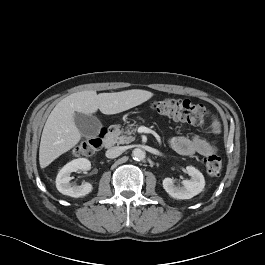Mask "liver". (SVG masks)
I'll use <instances>...</instances> for the list:
<instances>
[{"mask_svg": "<svg viewBox=\"0 0 265 265\" xmlns=\"http://www.w3.org/2000/svg\"><path fill=\"white\" fill-rule=\"evenodd\" d=\"M152 96V92L132 89L100 94L89 90L65 97L55 106L45 123L39 148L40 167H47L81 140V133L74 121L76 112L91 115L100 110L107 115L117 114L146 102Z\"/></svg>", "mask_w": 265, "mask_h": 265, "instance_id": "obj_1", "label": "liver"}]
</instances>
